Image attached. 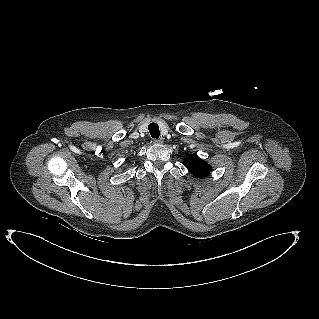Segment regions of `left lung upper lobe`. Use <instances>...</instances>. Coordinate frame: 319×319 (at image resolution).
<instances>
[{
	"instance_id": "obj_1",
	"label": "left lung upper lobe",
	"mask_w": 319,
	"mask_h": 319,
	"mask_svg": "<svg viewBox=\"0 0 319 319\" xmlns=\"http://www.w3.org/2000/svg\"><path fill=\"white\" fill-rule=\"evenodd\" d=\"M184 165L191 174L200 178L207 176L211 171L208 163L200 159L196 154L187 157Z\"/></svg>"
}]
</instances>
